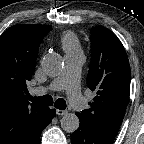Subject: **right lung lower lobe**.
Segmentation results:
<instances>
[{"mask_svg":"<svg viewBox=\"0 0 144 144\" xmlns=\"http://www.w3.org/2000/svg\"><path fill=\"white\" fill-rule=\"evenodd\" d=\"M54 116L55 110L47 107L42 119L35 125L21 144H40L41 132L51 122Z\"/></svg>","mask_w":144,"mask_h":144,"instance_id":"1","label":"right lung lower lobe"}]
</instances>
